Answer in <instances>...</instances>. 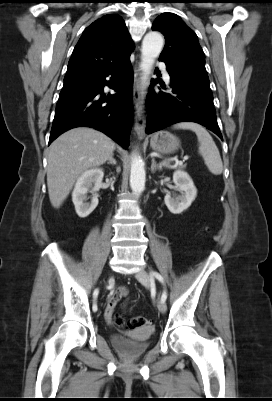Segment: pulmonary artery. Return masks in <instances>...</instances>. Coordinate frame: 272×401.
Listing matches in <instances>:
<instances>
[{
    "label": "pulmonary artery",
    "mask_w": 272,
    "mask_h": 401,
    "mask_svg": "<svg viewBox=\"0 0 272 401\" xmlns=\"http://www.w3.org/2000/svg\"><path fill=\"white\" fill-rule=\"evenodd\" d=\"M159 66L161 67V69L163 70V77H164V79L166 80V81H169V74H168V72L166 71V67H165V64L164 63H159Z\"/></svg>",
    "instance_id": "pulmonary-artery-1"
}]
</instances>
